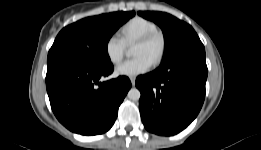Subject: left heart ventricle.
Returning <instances> with one entry per match:
<instances>
[{
  "mask_svg": "<svg viewBox=\"0 0 261 150\" xmlns=\"http://www.w3.org/2000/svg\"><path fill=\"white\" fill-rule=\"evenodd\" d=\"M157 50H158V42H154L152 44L136 43L133 48V55L134 56L146 55L153 61Z\"/></svg>",
  "mask_w": 261,
  "mask_h": 150,
  "instance_id": "left-heart-ventricle-1",
  "label": "left heart ventricle"
}]
</instances>
